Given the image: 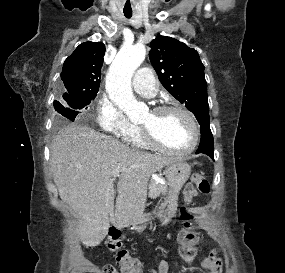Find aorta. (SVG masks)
Segmentation results:
<instances>
[{
	"instance_id": "1",
	"label": "aorta",
	"mask_w": 285,
	"mask_h": 273,
	"mask_svg": "<svg viewBox=\"0 0 285 273\" xmlns=\"http://www.w3.org/2000/svg\"><path fill=\"white\" fill-rule=\"evenodd\" d=\"M146 56L142 44L124 46L118 52L106 75V90L110 99L130 119L138 118L147 111L144 103L138 102L131 90V79Z\"/></svg>"
}]
</instances>
